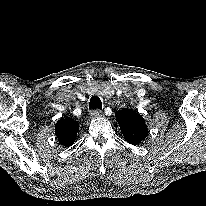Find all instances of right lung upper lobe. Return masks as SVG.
I'll use <instances>...</instances> for the list:
<instances>
[{"label": "right lung upper lobe", "instance_id": "right-lung-upper-lobe-1", "mask_svg": "<svg viewBox=\"0 0 206 206\" xmlns=\"http://www.w3.org/2000/svg\"><path fill=\"white\" fill-rule=\"evenodd\" d=\"M79 125L72 118H61L55 125V134L61 145H73L77 137Z\"/></svg>", "mask_w": 206, "mask_h": 206}]
</instances>
